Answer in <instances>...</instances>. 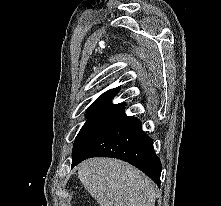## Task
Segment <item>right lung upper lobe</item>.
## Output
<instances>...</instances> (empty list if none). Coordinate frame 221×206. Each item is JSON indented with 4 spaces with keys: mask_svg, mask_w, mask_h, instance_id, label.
<instances>
[{
    "mask_svg": "<svg viewBox=\"0 0 221 206\" xmlns=\"http://www.w3.org/2000/svg\"><path fill=\"white\" fill-rule=\"evenodd\" d=\"M119 88L111 89L103 93L90 107H121L125 108V103L112 104V99L118 93Z\"/></svg>",
    "mask_w": 221,
    "mask_h": 206,
    "instance_id": "obj_1",
    "label": "right lung upper lobe"
}]
</instances>
